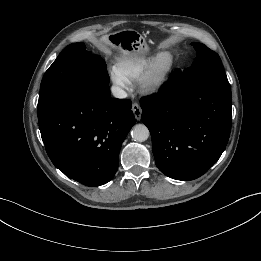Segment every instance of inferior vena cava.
<instances>
[{"label":"inferior vena cava","mask_w":261,"mask_h":261,"mask_svg":"<svg viewBox=\"0 0 261 261\" xmlns=\"http://www.w3.org/2000/svg\"><path fill=\"white\" fill-rule=\"evenodd\" d=\"M111 92H112L113 96L116 98L123 99V98L127 97V93L123 89H121L120 87H117V86H113L111 88Z\"/></svg>","instance_id":"obj_1"}]
</instances>
